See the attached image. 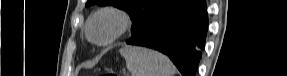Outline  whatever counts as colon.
<instances>
[{"mask_svg":"<svg viewBox=\"0 0 287 76\" xmlns=\"http://www.w3.org/2000/svg\"><path fill=\"white\" fill-rule=\"evenodd\" d=\"M106 76H117L114 72H108Z\"/></svg>","mask_w":287,"mask_h":76,"instance_id":"obj_1","label":"colon"}]
</instances>
